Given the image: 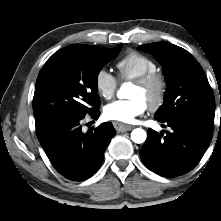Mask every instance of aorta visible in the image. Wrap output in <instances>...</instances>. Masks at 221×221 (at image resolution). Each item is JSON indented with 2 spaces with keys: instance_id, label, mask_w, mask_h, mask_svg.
Instances as JSON below:
<instances>
[{
  "instance_id": "aorta-1",
  "label": "aorta",
  "mask_w": 221,
  "mask_h": 221,
  "mask_svg": "<svg viewBox=\"0 0 221 221\" xmlns=\"http://www.w3.org/2000/svg\"><path fill=\"white\" fill-rule=\"evenodd\" d=\"M126 86H127V84H123L121 86L120 90H118V92H117L118 98H121V99L126 98V94H125ZM146 138H147V134H146L145 130H143L141 128H136L131 133L132 141L137 144L143 143L146 140Z\"/></svg>"
}]
</instances>
